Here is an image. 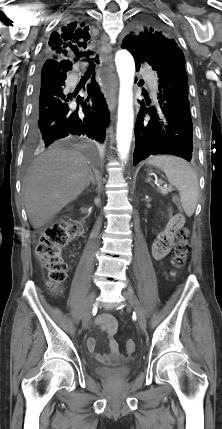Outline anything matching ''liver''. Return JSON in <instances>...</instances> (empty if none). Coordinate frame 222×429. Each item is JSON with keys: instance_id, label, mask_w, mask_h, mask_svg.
Wrapping results in <instances>:
<instances>
[{"instance_id": "6515ba94", "label": "liver", "mask_w": 222, "mask_h": 429, "mask_svg": "<svg viewBox=\"0 0 222 429\" xmlns=\"http://www.w3.org/2000/svg\"><path fill=\"white\" fill-rule=\"evenodd\" d=\"M89 161L81 152L51 147L29 167L23 196L31 225L41 228L68 203L78 198L91 177Z\"/></svg>"}]
</instances>
